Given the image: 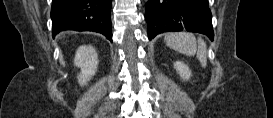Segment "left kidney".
I'll use <instances>...</instances> for the list:
<instances>
[{"label": "left kidney", "mask_w": 273, "mask_h": 118, "mask_svg": "<svg viewBox=\"0 0 273 118\" xmlns=\"http://www.w3.org/2000/svg\"><path fill=\"white\" fill-rule=\"evenodd\" d=\"M174 68L183 80H188L191 76L190 68L183 62L177 61L174 63Z\"/></svg>", "instance_id": "5707ae66"}]
</instances>
